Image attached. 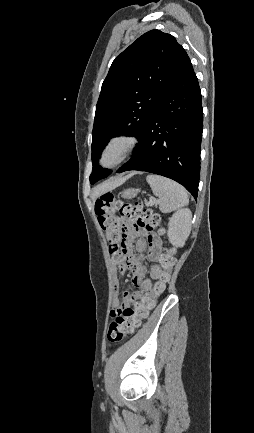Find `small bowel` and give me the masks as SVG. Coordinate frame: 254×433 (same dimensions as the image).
<instances>
[{"mask_svg":"<svg viewBox=\"0 0 254 433\" xmlns=\"http://www.w3.org/2000/svg\"><path fill=\"white\" fill-rule=\"evenodd\" d=\"M126 227L129 229L126 254L123 257L113 259L120 274H124L128 270L133 273L132 284L136 287L141 288V291L134 294L128 291L125 292L123 294L122 300H116L114 302L112 313H114L122 305L126 303H132L138 299H141L143 294L150 292L153 286V280H157L161 274V267L157 263H154L150 267V277H145L147 268L133 254L130 246L131 242L136 237L146 234L147 239H138L135 243V248L139 253H143L148 246L150 259L152 261H157L160 257L162 250L160 239L155 234L147 233L142 228H129L128 225H126ZM118 290L119 281L115 279L114 291L118 293Z\"/></svg>","mask_w":254,"mask_h":433,"instance_id":"c3829d8e","label":"small bowel"}]
</instances>
